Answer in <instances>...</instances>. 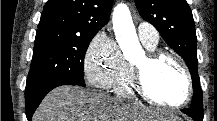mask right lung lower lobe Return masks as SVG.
Instances as JSON below:
<instances>
[{"instance_id":"98d812e1","label":"right lung lower lobe","mask_w":217,"mask_h":121,"mask_svg":"<svg viewBox=\"0 0 217 121\" xmlns=\"http://www.w3.org/2000/svg\"><path fill=\"white\" fill-rule=\"evenodd\" d=\"M61 85H77V83L70 78L58 76L43 79L29 87H26L25 106L28 121H31L34 111L37 109L45 95L52 89Z\"/></svg>"}]
</instances>
